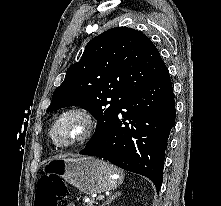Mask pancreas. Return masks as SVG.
Listing matches in <instances>:
<instances>
[{
	"label": "pancreas",
	"mask_w": 221,
	"mask_h": 206,
	"mask_svg": "<svg viewBox=\"0 0 221 206\" xmlns=\"http://www.w3.org/2000/svg\"><path fill=\"white\" fill-rule=\"evenodd\" d=\"M95 205V201H89L86 204H84V206H94Z\"/></svg>",
	"instance_id": "obj_1"
}]
</instances>
